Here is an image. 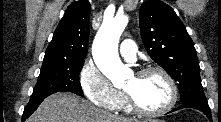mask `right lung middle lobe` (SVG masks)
I'll list each match as a JSON object with an SVG mask.
<instances>
[{"mask_svg": "<svg viewBox=\"0 0 221 122\" xmlns=\"http://www.w3.org/2000/svg\"><path fill=\"white\" fill-rule=\"evenodd\" d=\"M84 60L43 61L37 84L31 99L49 96L56 92L66 91L83 96L78 75Z\"/></svg>", "mask_w": 221, "mask_h": 122, "instance_id": "dd1d6c3e", "label": "right lung middle lobe"}]
</instances>
